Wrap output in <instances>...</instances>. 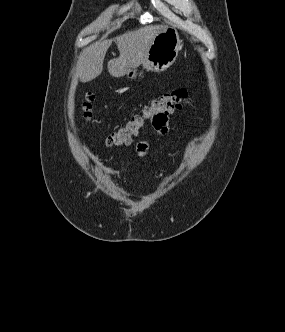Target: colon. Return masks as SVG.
<instances>
[{
    "label": "colon",
    "instance_id": "obj_1",
    "mask_svg": "<svg viewBox=\"0 0 285 332\" xmlns=\"http://www.w3.org/2000/svg\"><path fill=\"white\" fill-rule=\"evenodd\" d=\"M188 95V90L179 89L163 94L152 100L149 104L143 107L140 113L134 115L122 126L113 131L107 137V144L109 146L128 145L131 143L132 139L136 137L148 123H150L148 121L149 115H153L154 111H168L170 116L185 105L188 100ZM93 102L94 95L91 93L87 94L82 104L83 116L86 120H91L92 118Z\"/></svg>",
    "mask_w": 285,
    "mask_h": 332
}]
</instances>
